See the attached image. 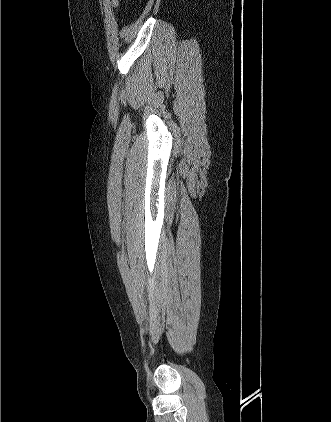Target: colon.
I'll return each mask as SVG.
<instances>
[{
  "mask_svg": "<svg viewBox=\"0 0 331 422\" xmlns=\"http://www.w3.org/2000/svg\"><path fill=\"white\" fill-rule=\"evenodd\" d=\"M114 5H118L119 4V0H113Z\"/></svg>",
  "mask_w": 331,
  "mask_h": 422,
  "instance_id": "obj_1",
  "label": "colon"
}]
</instances>
